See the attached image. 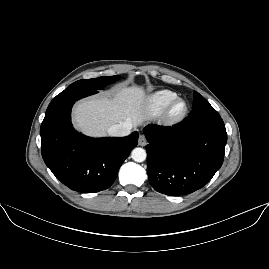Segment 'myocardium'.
Returning a JSON list of instances; mask_svg holds the SVG:
<instances>
[{"label":"myocardium","mask_w":269,"mask_h":269,"mask_svg":"<svg viewBox=\"0 0 269 269\" xmlns=\"http://www.w3.org/2000/svg\"><path fill=\"white\" fill-rule=\"evenodd\" d=\"M187 112V103L183 99L174 100L169 106L165 119L170 123H175L182 119Z\"/></svg>","instance_id":"f54148a6"}]
</instances>
